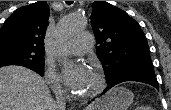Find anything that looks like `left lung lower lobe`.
<instances>
[{"label": "left lung lower lobe", "mask_w": 171, "mask_h": 110, "mask_svg": "<svg viewBox=\"0 0 171 110\" xmlns=\"http://www.w3.org/2000/svg\"><path fill=\"white\" fill-rule=\"evenodd\" d=\"M125 81H138V82H143L150 84L154 86L156 89H158V82L156 79V76L154 75H146V74H133V75H127L121 78H118L117 80L111 82L108 84V87L104 90L102 94H104L106 91H108L110 88L113 86L125 82Z\"/></svg>", "instance_id": "1"}]
</instances>
